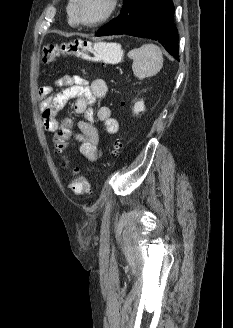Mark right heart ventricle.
Listing matches in <instances>:
<instances>
[{"instance_id":"1","label":"right heart ventricle","mask_w":233,"mask_h":328,"mask_svg":"<svg viewBox=\"0 0 233 328\" xmlns=\"http://www.w3.org/2000/svg\"><path fill=\"white\" fill-rule=\"evenodd\" d=\"M73 0H69L66 11H67V18L70 25L74 26L77 24L74 9H73Z\"/></svg>"}]
</instances>
